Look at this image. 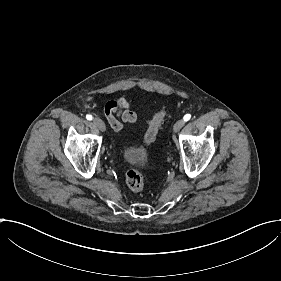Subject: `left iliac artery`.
I'll return each instance as SVG.
<instances>
[{"mask_svg":"<svg viewBox=\"0 0 281 281\" xmlns=\"http://www.w3.org/2000/svg\"><path fill=\"white\" fill-rule=\"evenodd\" d=\"M190 118H191V115H190V114H186V115L183 117L184 121H188Z\"/></svg>","mask_w":281,"mask_h":281,"instance_id":"1","label":"left iliac artery"}]
</instances>
